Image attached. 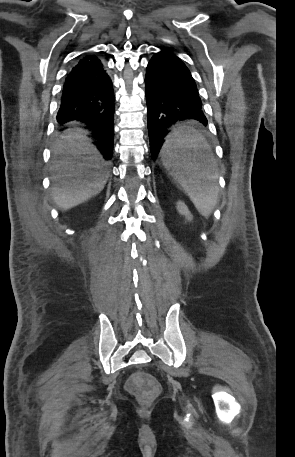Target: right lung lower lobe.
Returning <instances> with one entry per match:
<instances>
[{"instance_id": "obj_1", "label": "right lung lower lobe", "mask_w": 295, "mask_h": 457, "mask_svg": "<svg viewBox=\"0 0 295 457\" xmlns=\"http://www.w3.org/2000/svg\"><path fill=\"white\" fill-rule=\"evenodd\" d=\"M114 92L103 64L95 55H85L68 74L57 114L61 124L79 120L94 129V144L110 160L114 138Z\"/></svg>"}]
</instances>
